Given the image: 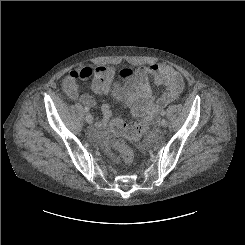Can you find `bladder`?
<instances>
[{"label":"bladder","mask_w":245,"mask_h":245,"mask_svg":"<svg viewBox=\"0 0 245 245\" xmlns=\"http://www.w3.org/2000/svg\"><path fill=\"white\" fill-rule=\"evenodd\" d=\"M133 78L130 73H125L122 76V82L113 90L114 101L118 104L126 106L129 95L133 91Z\"/></svg>","instance_id":"bladder-1"}]
</instances>
